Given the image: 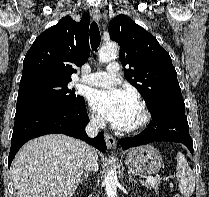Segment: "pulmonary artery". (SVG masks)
Segmentation results:
<instances>
[{
  "instance_id": "pulmonary-artery-1",
  "label": "pulmonary artery",
  "mask_w": 209,
  "mask_h": 197,
  "mask_svg": "<svg viewBox=\"0 0 209 197\" xmlns=\"http://www.w3.org/2000/svg\"><path fill=\"white\" fill-rule=\"evenodd\" d=\"M120 66L118 62H111L107 65L106 71H98L89 76L81 78L86 84L98 87H108L119 82L118 72Z\"/></svg>"
}]
</instances>
